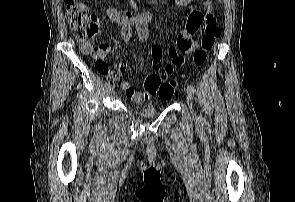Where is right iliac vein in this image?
<instances>
[{
  "mask_svg": "<svg viewBox=\"0 0 295 202\" xmlns=\"http://www.w3.org/2000/svg\"><path fill=\"white\" fill-rule=\"evenodd\" d=\"M108 93H112L114 91V87L113 86H109L107 89Z\"/></svg>",
  "mask_w": 295,
  "mask_h": 202,
  "instance_id": "obj_1",
  "label": "right iliac vein"
}]
</instances>
